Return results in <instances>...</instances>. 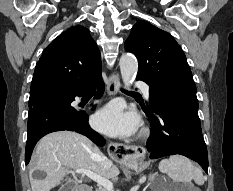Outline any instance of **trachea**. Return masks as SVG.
<instances>
[{"label":"trachea","instance_id":"trachea-1","mask_svg":"<svg viewBox=\"0 0 233 191\" xmlns=\"http://www.w3.org/2000/svg\"><path fill=\"white\" fill-rule=\"evenodd\" d=\"M88 93H95V89L89 90Z\"/></svg>","mask_w":233,"mask_h":191}]
</instances>
